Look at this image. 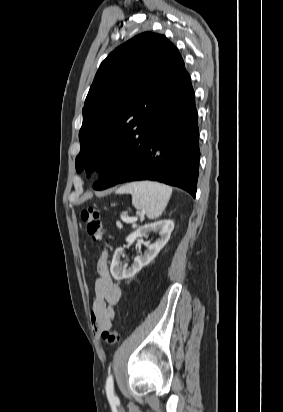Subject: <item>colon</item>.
<instances>
[{"mask_svg": "<svg viewBox=\"0 0 283 412\" xmlns=\"http://www.w3.org/2000/svg\"><path fill=\"white\" fill-rule=\"evenodd\" d=\"M79 216L84 224L86 233L95 241L101 240L104 231L99 211L94 207H87L80 211ZM101 338L106 344L115 345L119 341V334L115 329H105L101 333Z\"/></svg>", "mask_w": 283, "mask_h": 412, "instance_id": "5ec220e1", "label": "colon"}]
</instances>
